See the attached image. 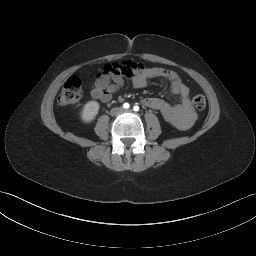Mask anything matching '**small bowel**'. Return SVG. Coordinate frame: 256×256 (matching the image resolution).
I'll return each mask as SVG.
<instances>
[{
	"mask_svg": "<svg viewBox=\"0 0 256 256\" xmlns=\"http://www.w3.org/2000/svg\"><path fill=\"white\" fill-rule=\"evenodd\" d=\"M122 66L130 69L131 73L124 75L121 72H117L109 76L99 77L90 92L94 100L103 103L111 101L113 94L124 85V76L130 78L135 88H144L148 80L161 77L168 80L170 94L172 96L178 95L180 103L171 104L160 98L147 97L142 100V104L158 111L169 124L177 129L186 130L192 126L196 120V114L191 106L190 89L182 82L176 71L161 67H147L141 63L133 62H126Z\"/></svg>",
	"mask_w": 256,
	"mask_h": 256,
	"instance_id": "c3829d8e",
	"label": "small bowel"
}]
</instances>
